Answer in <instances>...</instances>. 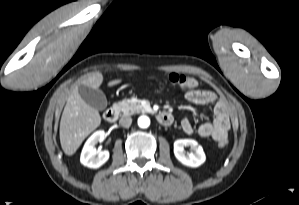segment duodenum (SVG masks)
Returning <instances> with one entry per match:
<instances>
[{"mask_svg": "<svg viewBox=\"0 0 299 205\" xmlns=\"http://www.w3.org/2000/svg\"><path fill=\"white\" fill-rule=\"evenodd\" d=\"M103 116L107 122L113 123L118 118V110L114 107L108 108L104 112ZM157 119H158L159 123L162 125H170L173 122V116L168 112L158 113Z\"/></svg>", "mask_w": 299, "mask_h": 205, "instance_id": "410a0bca", "label": "duodenum"}]
</instances>
